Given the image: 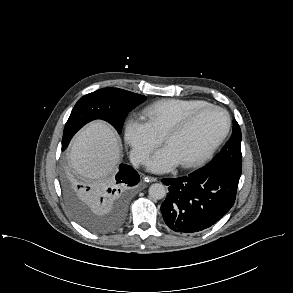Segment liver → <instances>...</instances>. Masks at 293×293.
Returning a JSON list of instances; mask_svg holds the SVG:
<instances>
[{
  "label": "liver",
  "instance_id": "obj_1",
  "mask_svg": "<svg viewBox=\"0 0 293 293\" xmlns=\"http://www.w3.org/2000/svg\"><path fill=\"white\" fill-rule=\"evenodd\" d=\"M120 157V141L103 121H94L83 128L75 137L69 155L74 171L88 180H100L111 174Z\"/></svg>",
  "mask_w": 293,
  "mask_h": 293
}]
</instances>
